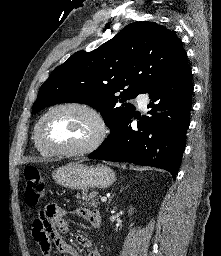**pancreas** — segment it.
Segmentation results:
<instances>
[{"mask_svg": "<svg viewBox=\"0 0 221 256\" xmlns=\"http://www.w3.org/2000/svg\"><path fill=\"white\" fill-rule=\"evenodd\" d=\"M79 200V203H82L83 205L90 206L93 208H96L100 203L98 201V193L96 191L91 192L90 194L83 193L82 196L77 195L76 196Z\"/></svg>", "mask_w": 221, "mask_h": 256, "instance_id": "1", "label": "pancreas"}]
</instances>
